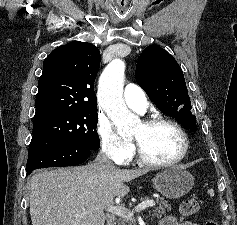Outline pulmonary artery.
Here are the masks:
<instances>
[{"mask_svg":"<svg viewBox=\"0 0 237 225\" xmlns=\"http://www.w3.org/2000/svg\"><path fill=\"white\" fill-rule=\"evenodd\" d=\"M123 98L126 105L140 113H144L148 107V101L143 89L133 83L125 86Z\"/></svg>","mask_w":237,"mask_h":225,"instance_id":"e3ab8cb5","label":"pulmonary artery"}]
</instances>
